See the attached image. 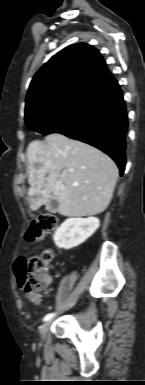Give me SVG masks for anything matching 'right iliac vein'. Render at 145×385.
<instances>
[{
    "label": "right iliac vein",
    "mask_w": 145,
    "mask_h": 385,
    "mask_svg": "<svg viewBox=\"0 0 145 385\" xmlns=\"http://www.w3.org/2000/svg\"><path fill=\"white\" fill-rule=\"evenodd\" d=\"M50 324H51V321H47L45 322L42 326H41V329H40V333H41V336L44 338L49 330V327H50Z\"/></svg>",
    "instance_id": "63e3f726"
}]
</instances>
